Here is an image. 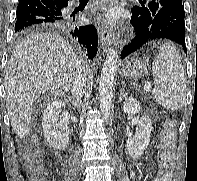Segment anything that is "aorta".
<instances>
[{"label": "aorta", "instance_id": "obj_1", "mask_svg": "<svg viewBox=\"0 0 197 181\" xmlns=\"http://www.w3.org/2000/svg\"><path fill=\"white\" fill-rule=\"evenodd\" d=\"M118 62V53L111 50L106 57L99 80V102L103 118L107 120L111 113L113 85Z\"/></svg>", "mask_w": 197, "mask_h": 181}]
</instances>
